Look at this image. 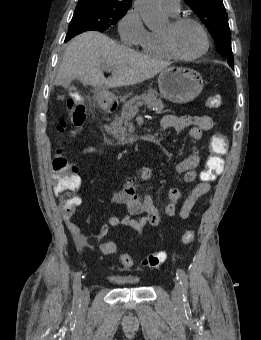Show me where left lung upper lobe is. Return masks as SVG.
<instances>
[{"instance_id": "1", "label": "left lung upper lobe", "mask_w": 261, "mask_h": 340, "mask_svg": "<svg viewBox=\"0 0 261 340\" xmlns=\"http://www.w3.org/2000/svg\"><path fill=\"white\" fill-rule=\"evenodd\" d=\"M212 34L219 53L234 64L228 16L222 0H184Z\"/></svg>"}]
</instances>
